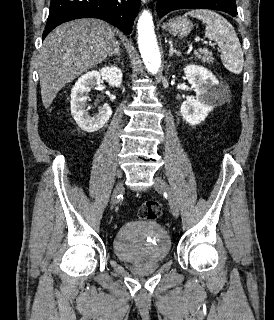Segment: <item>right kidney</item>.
Segmentation results:
<instances>
[{"label": "right kidney", "mask_w": 274, "mask_h": 320, "mask_svg": "<svg viewBox=\"0 0 274 320\" xmlns=\"http://www.w3.org/2000/svg\"><path fill=\"white\" fill-rule=\"evenodd\" d=\"M101 78L106 80L111 88H119L122 84V70L116 68V66H107V68H102L98 72L92 70V72H87V74L78 78L71 90V114L83 132H97L107 124L112 116L110 106H102L93 118L89 116L88 110H85L89 98L88 94L94 86L100 84Z\"/></svg>", "instance_id": "ca27d5eb"}]
</instances>
